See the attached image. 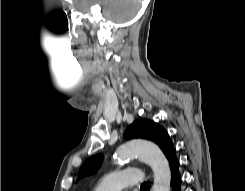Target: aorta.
Wrapping results in <instances>:
<instances>
[{
  "label": "aorta",
  "instance_id": "762f6f07",
  "mask_svg": "<svg viewBox=\"0 0 245 191\" xmlns=\"http://www.w3.org/2000/svg\"><path fill=\"white\" fill-rule=\"evenodd\" d=\"M135 157L147 163L154 173L153 191H170L171 171L160 148L152 142L132 140L117 148L115 161H127Z\"/></svg>",
  "mask_w": 245,
  "mask_h": 191
}]
</instances>
